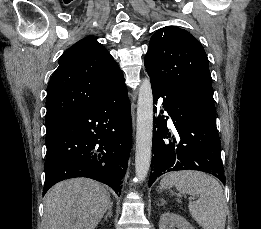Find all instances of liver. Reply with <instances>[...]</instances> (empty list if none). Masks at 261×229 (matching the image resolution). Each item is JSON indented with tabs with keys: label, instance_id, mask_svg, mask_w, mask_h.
<instances>
[{
	"label": "liver",
	"instance_id": "6515ba94",
	"mask_svg": "<svg viewBox=\"0 0 261 229\" xmlns=\"http://www.w3.org/2000/svg\"><path fill=\"white\" fill-rule=\"evenodd\" d=\"M43 229H95L111 201L92 179H69L45 195Z\"/></svg>",
	"mask_w": 261,
	"mask_h": 229
}]
</instances>
